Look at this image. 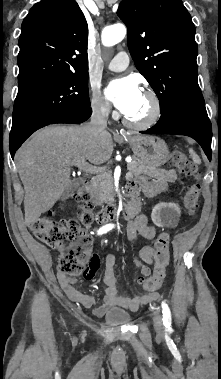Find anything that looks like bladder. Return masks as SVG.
Wrapping results in <instances>:
<instances>
[{"label":"bladder","instance_id":"1","mask_svg":"<svg viewBox=\"0 0 221 379\" xmlns=\"http://www.w3.org/2000/svg\"><path fill=\"white\" fill-rule=\"evenodd\" d=\"M104 319L106 322L110 324H125L131 321L132 316L129 312L120 309V308H111L109 309L105 315Z\"/></svg>","mask_w":221,"mask_h":379}]
</instances>
